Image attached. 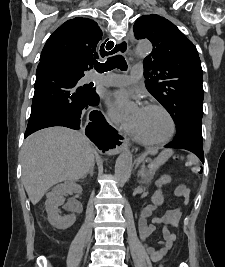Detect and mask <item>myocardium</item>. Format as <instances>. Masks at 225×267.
Here are the masks:
<instances>
[{"label":"myocardium","instance_id":"obj_1","mask_svg":"<svg viewBox=\"0 0 225 267\" xmlns=\"http://www.w3.org/2000/svg\"><path fill=\"white\" fill-rule=\"evenodd\" d=\"M144 108L158 109V110L162 111L163 113H165L171 122V132H170L169 136L165 139L151 140V139L147 138L136 125H134V130L136 131V133L139 135L141 140L145 144H148V145H164V144L169 143L174 138L176 131H177V124H176L175 118L172 115V113L167 108H165L164 106L157 104V103H148L144 106Z\"/></svg>","mask_w":225,"mask_h":267}]
</instances>
